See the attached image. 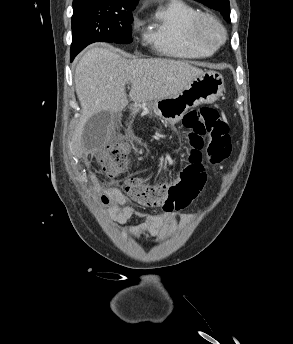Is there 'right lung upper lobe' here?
Wrapping results in <instances>:
<instances>
[{
	"instance_id": "cb5924a9",
	"label": "right lung upper lobe",
	"mask_w": 293,
	"mask_h": 344,
	"mask_svg": "<svg viewBox=\"0 0 293 344\" xmlns=\"http://www.w3.org/2000/svg\"><path fill=\"white\" fill-rule=\"evenodd\" d=\"M83 0H73V4L80 3ZM95 1H102L107 3H115V4H130L135 5L138 3V0H95Z\"/></svg>"
}]
</instances>
